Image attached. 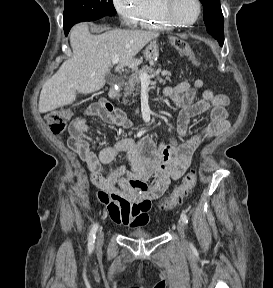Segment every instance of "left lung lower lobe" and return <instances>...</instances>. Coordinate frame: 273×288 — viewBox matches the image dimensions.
I'll return each instance as SVG.
<instances>
[{"mask_svg": "<svg viewBox=\"0 0 273 288\" xmlns=\"http://www.w3.org/2000/svg\"><path fill=\"white\" fill-rule=\"evenodd\" d=\"M218 41V43L222 46L223 43H224V38H219V39H216Z\"/></svg>", "mask_w": 273, "mask_h": 288, "instance_id": "obj_1", "label": "left lung lower lobe"}]
</instances>
